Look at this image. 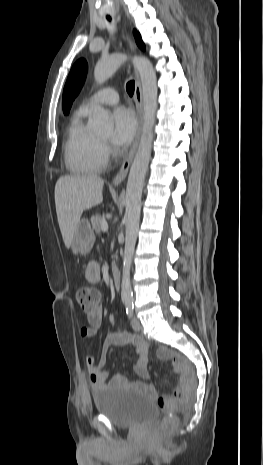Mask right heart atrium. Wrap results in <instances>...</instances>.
I'll use <instances>...</instances> for the list:
<instances>
[{
  "mask_svg": "<svg viewBox=\"0 0 263 465\" xmlns=\"http://www.w3.org/2000/svg\"><path fill=\"white\" fill-rule=\"evenodd\" d=\"M101 150H102L103 156L105 158L108 157V155L110 153V148L108 147V145L106 143H101Z\"/></svg>",
  "mask_w": 263,
  "mask_h": 465,
  "instance_id": "obj_1",
  "label": "right heart atrium"
}]
</instances>
